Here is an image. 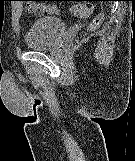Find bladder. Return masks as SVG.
Wrapping results in <instances>:
<instances>
[{"mask_svg": "<svg viewBox=\"0 0 135 161\" xmlns=\"http://www.w3.org/2000/svg\"><path fill=\"white\" fill-rule=\"evenodd\" d=\"M64 20L59 17H40L33 19L24 35L27 47L31 50L53 48L65 33Z\"/></svg>", "mask_w": 135, "mask_h": 161, "instance_id": "31cf9c89", "label": "bladder"}]
</instances>
